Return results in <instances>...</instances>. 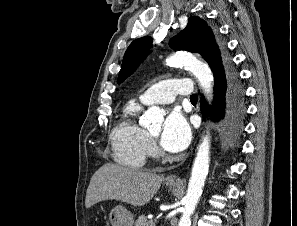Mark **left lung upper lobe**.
<instances>
[{
    "label": "left lung upper lobe",
    "instance_id": "5c2ea615",
    "mask_svg": "<svg viewBox=\"0 0 297 226\" xmlns=\"http://www.w3.org/2000/svg\"><path fill=\"white\" fill-rule=\"evenodd\" d=\"M151 46L152 38L148 36L139 38L130 44L123 58L118 83L124 81L136 70ZM170 47L175 50H187L201 54L210 65L214 75L223 71L229 60L221 56L211 28L198 17L189 18L186 28L170 41Z\"/></svg>",
    "mask_w": 297,
    "mask_h": 226
}]
</instances>
